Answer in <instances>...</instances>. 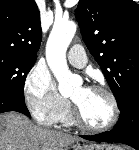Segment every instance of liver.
Segmentation results:
<instances>
[{"label":"liver","instance_id":"liver-1","mask_svg":"<svg viewBox=\"0 0 139 150\" xmlns=\"http://www.w3.org/2000/svg\"><path fill=\"white\" fill-rule=\"evenodd\" d=\"M76 140L69 134L33 125L18 113L0 115V150H64Z\"/></svg>","mask_w":139,"mask_h":150}]
</instances>
